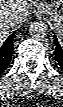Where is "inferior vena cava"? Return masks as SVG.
<instances>
[{"instance_id": "602c4592", "label": "inferior vena cava", "mask_w": 63, "mask_h": 107, "mask_svg": "<svg viewBox=\"0 0 63 107\" xmlns=\"http://www.w3.org/2000/svg\"><path fill=\"white\" fill-rule=\"evenodd\" d=\"M6 23L10 24V25H14L16 23V17L14 16H10L6 19Z\"/></svg>"}]
</instances>
